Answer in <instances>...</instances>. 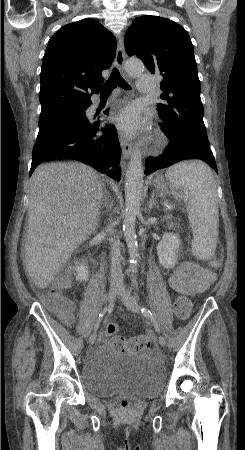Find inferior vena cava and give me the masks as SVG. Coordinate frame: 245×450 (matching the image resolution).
I'll list each match as a JSON object with an SVG mask.
<instances>
[{"label":"inferior vena cava","instance_id":"602c4592","mask_svg":"<svg viewBox=\"0 0 245 450\" xmlns=\"http://www.w3.org/2000/svg\"><path fill=\"white\" fill-rule=\"evenodd\" d=\"M121 261H122V256H121L119 243L116 241H112V245H111V284H117V285L123 284Z\"/></svg>","mask_w":245,"mask_h":450}]
</instances>
